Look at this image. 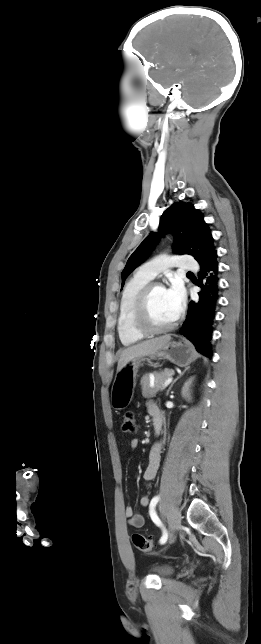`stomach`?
I'll use <instances>...</instances> for the list:
<instances>
[{"label": "stomach", "mask_w": 261, "mask_h": 644, "mask_svg": "<svg viewBox=\"0 0 261 644\" xmlns=\"http://www.w3.org/2000/svg\"><path fill=\"white\" fill-rule=\"evenodd\" d=\"M196 358V352L187 340H170L162 348L148 355L133 358L117 372L111 388V405L115 410L125 409L132 401L139 367L144 361L166 359L171 363L186 367Z\"/></svg>", "instance_id": "stomach-1"}]
</instances>
